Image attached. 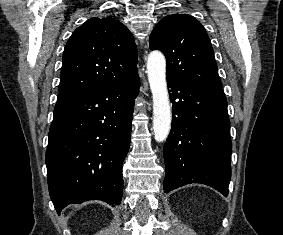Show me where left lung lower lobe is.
Instances as JSON below:
<instances>
[{
  "label": "left lung lower lobe",
  "instance_id": "0a47b994",
  "mask_svg": "<svg viewBox=\"0 0 283 235\" xmlns=\"http://www.w3.org/2000/svg\"><path fill=\"white\" fill-rule=\"evenodd\" d=\"M172 127L163 148L166 193L190 183L228 195L231 178L230 121L223 91L167 77Z\"/></svg>",
  "mask_w": 283,
  "mask_h": 235
}]
</instances>
